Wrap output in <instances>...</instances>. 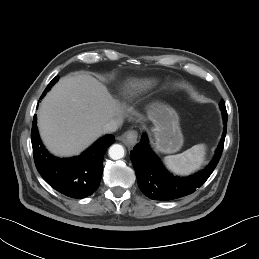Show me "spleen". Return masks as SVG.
<instances>
[{
    "label": "spleen",
    "mask_w": 259,
    "mask_h": 259,
    "mask_svg": "<svg viewBox=\"0 0 259 259\" xmlns=\"http://www.w3.org/2000/svg\"><path fill=\"white\" fill-rule=\"evenodd\" d=\"M206 154L205 144H197L183 153L164 158L167 168L176 174L188 175L204 163Z\"/></svg>",
    "instance_id": "1"
}]
</instances>
